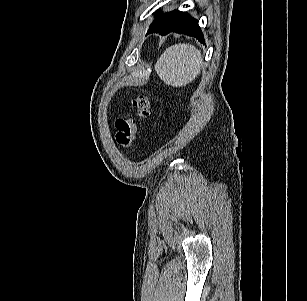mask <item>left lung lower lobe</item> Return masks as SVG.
Masks as SVG:
<instances>
[{
	"mask_svg": "<svg viewBox=\"0 0 307 301\" xmlns=\"http://www.w3.org/2000/svg\"><path fill=\"white\" fill-rule=\"evenodd\" d=\"M159 33L166 35L170 32L186 34L196 37L201 43L205 44L203 33L198 25V21L186 12L174 10L168 13L158 23L150 26L147 34Z\"/></svg>",
	"mask_w": 307,
	"mask_h": 301,
	"instance_id": "0a47b994",
	"label": "left lung lower lobe"
}]
</instances>
